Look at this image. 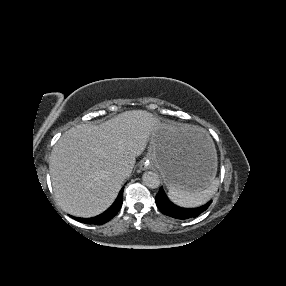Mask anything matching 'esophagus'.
<instances>
[{"mask_svg":"<svg viewBox=\"0 0 286 286\" xmlns=\"http://www.w3.org/2000/svg\"><path fill=\"white\" fill-rule=\"evenodd\" d=\"M151 167V163L148 161H141L139 168L140 170H146L149 169Z\"/></svg>","mask_w":286,"mask_h":286,"instance_id":"34e87169","label":"esophagus"}]
</instances>
